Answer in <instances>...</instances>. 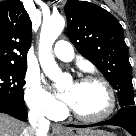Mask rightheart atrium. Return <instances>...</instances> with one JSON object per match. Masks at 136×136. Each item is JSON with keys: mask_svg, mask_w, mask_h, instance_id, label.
<instances>
[{"mask_svg": "<svg viewBox=\"0 0 136 136\" xmlns=\"http://www.w3.org/2000/svg\"><path fill=\"white\" fill-rule=\"evenodd\" d=\"M24 100L28 108L44 117L55 118L62 112V107L44 88L37 73L27 72L24 85Z\"/></svg>", "mask_w": 136, "mask_h": 136, "instance_id": "obj_1", "label": "right heart atrium"}]
</instances>
